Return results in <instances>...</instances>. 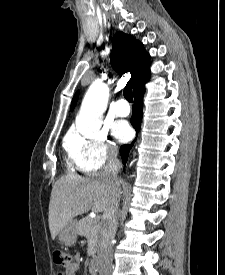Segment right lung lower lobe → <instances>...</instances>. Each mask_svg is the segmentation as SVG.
<instances>
[{
    "instance_id": "obj_1",
    "label": "right lung lower lobe",
    "mask_w": 225,
    "mask_h": 275,
    "mask_svg": "<svg viewBox=\"0 0 225 275\" xmlns=\"http://www.w3.org/2000/svg\"><path fill=\"white\" fill-rule=\"evenodd\" d=\"M148 78L145 80L144 84L141 88H139L133 95L135 98V104L133 105V114L131 117V123L136 131L140 129L141 121H142V115H143V94L145 91V83L147 82ZM134 144V141L131 144L122 145L120 148L121 158L123 161V164L126 163L128 158V153L130 149L132 148Z\"/></svg>"
}]
</instances>
